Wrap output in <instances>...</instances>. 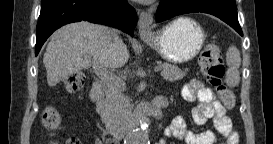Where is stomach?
Listing matches in <instances>:
<instances>
[{
    "instance_id": "obj_1",
    "label": "stomach",
    "mask_w": 273,
    "mask_h": 144,
    "mask_svg": "<svg viewBox=\"0 0 273 144\" xmlns=\"http://www.w3.org/2000/svg\"><path fill=\"white\" fill-rule=\"evenodd\" d=\"M143 41L166 61L177 64L192 60L200 52L205 33L194 20L180 17L154 33L151 38L143 37Z\"/></svg>"
}]
</instances>
